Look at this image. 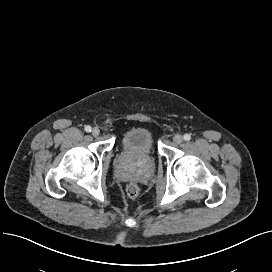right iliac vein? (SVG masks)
<instances>
[{"instance_id": "right-iliac-vein-1", "label": "right iliac vein", "mask_w": 272, "mask_h": 272, "mask_svg": "<svg viewBox=\"0 0 272 272\" xmlns=\"http://www.w3.org/2000/svg\"><path fill=\"white\" fill-rule=\"evenodd\" d=\"M99 134H100L99 128L94 127V128L92 129V135L96 137V136H98Z\"/></svg>"}]
</instances>
